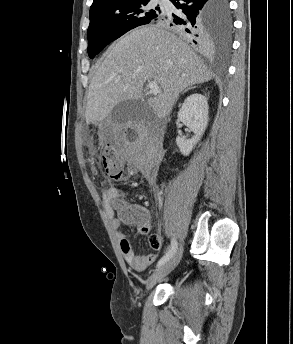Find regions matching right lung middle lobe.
<instances>
[{"mask_svg": "<svg viewBox=\"0 0 293 344\" xmlns=\"http://www.w3.org/2000/svg\"><path fill=\"white\" fill-rule=\"evenodd\" d=\"M150 0H118L90 10L88 34V54L92 59L110 42L129 30L163 17L161 8H148ZM214 25L219 30L214 46L228 44L231 17L228 0H216L213 15Z\"/></svg>", "mask_w": 293, "mask_h": 344, "instance_id": "right-lung-middle-lobe-1", "label": "right lung middle lobe"}]
</instances>
